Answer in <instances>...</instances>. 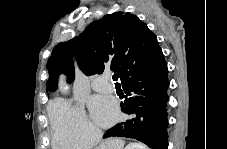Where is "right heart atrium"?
<instances>
[{
    "instance_id": "d8ad5b80",
    "label": "right heart atrium",
    "mask_w": 227,
    "mask_h": 149,
    "mask_svg": "<svg viewBox=\"0 0 227 149\" xmlns=\"http://www.w3.org/2000/svg\"><path fill=\"white\" fill-rule=\"evenodd\" d=\"M52 144L60 149H80L93 146L101 130L78 105L57 98L50 105Z\"/></svg>"
}]
</instances>
